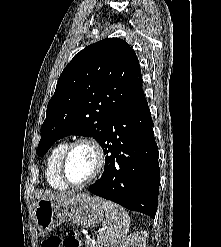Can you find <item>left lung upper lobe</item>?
Instances as JSON below:
<instances>
[{
    "label": "left lung upper lobe",
    "mask_w": 221,
    "mask_h": 247,
    "mask_svg": "<svg viewBox=\"0 0 221 247\" xmlns=\"http://www.w3.org/2000/svg\"><path fill=\"white\" fill-rule=\"evenodd\" d=\"M146 102L132 48L119 38L91 44L60 75L36 153L44 155L55 141L68 135L90 136L102 146L110 121Z\"/></svg>",
    "instance_id": "obj_1"
}]
</instances>
